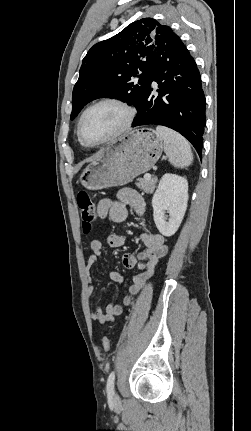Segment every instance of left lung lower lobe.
I'll return each instance as SVG.
<instances>
[{"mask_svg": "<svg viewBox=\"0 0 251 431\" xmlns=\"http://www.w3.org/2000/svg\"><path fill=\"white\" fill-rule=\"evenodd\" d=\"M153 82L158 84V94L154 93ZM205 105L197 65L174 33L153 55L147 86L132 127L148 124L169 127L187 138L201 157Z\"/></svg>", "mask_w": 251, "mask_h": 431, "instance_id": "obj_1", "label": "left lung lower lobe"}]
</instances>
